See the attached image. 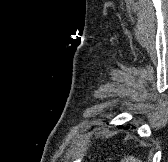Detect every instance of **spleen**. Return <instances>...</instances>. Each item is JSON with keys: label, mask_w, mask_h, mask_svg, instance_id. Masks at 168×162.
<instances>
[{"label": "spleen", "mask_w": 168, "mask_h": 162, "mask_svg": "<svg viewBox=\"0 0 168 162\" xmlns=\"http://www.w3.org/2000/svg\"><path fill=\"white\" fill-rule=\"evenodd\" d=\"M121 162H142L141 160H138V159H136L135 157H133V156H125L122 160H121Z\"/></svg>", "instance_id": "obj_1"}]
</instances>
